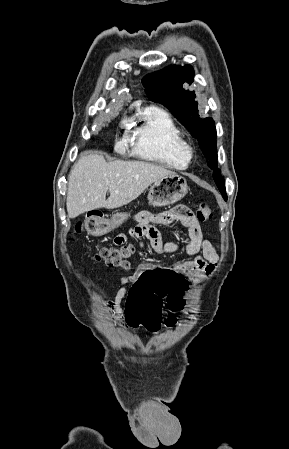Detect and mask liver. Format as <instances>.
I'll use <instances>...</instances> for the list:
<instances>
[{"label": "liver", "instance_id": "6515ba94", "mask_svg": "<svg viewBox=\"0 0 289 449\" xmlns=\"http://www.w3.org/2000/svg\"><path fill=\"white\" fill-rule=\"evenodd\" d=\"M176 173L144 161L106 162L98 154L81 155L68 179L67 212L76 218L87 211L122 207L155 181ZM110 196L106 199V193Z\"/></svg>", "mask_w": 289, "mask_h": 449}]
</instances>
